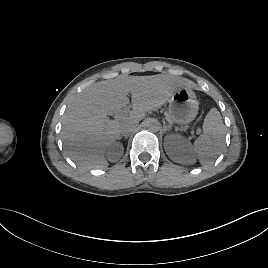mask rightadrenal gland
I'll list each match as a JSON object with an SVG mask.
<instances>
[{"label": "right adrenal gland", "instance_id": "obj_1", "mask_svg": "<svg viewBox=\"0 0 268 268\" xmlns=\"http://www.w3.org/2000/svg\"><path fill=\"white\" fill-rule=\"evenodd\" d=\"M122 138V136L119 137V140ZM125 139H127V136H125Z\"/></svg>", "mask_w": 268, "mask_h": 268}]
</instances>
